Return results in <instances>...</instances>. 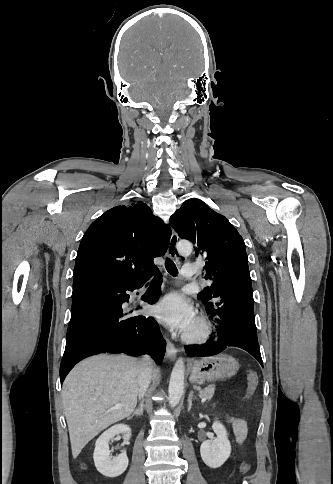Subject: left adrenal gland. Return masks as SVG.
<instances>
[{"mask_svg":"<svg viewBox=\"0 0 333 484\" xmlns=\"http://www.w3.org/2000/svg\"><path fill=\"white\" fill-rule=\"evenodd\" d=\"M196 399V397L193 396V391H190V394L188 396V411H190L192 407V400Z\"/></svg>","mask_w":333,"mask_h":484,"instance_id":"left-adrenal-gland-1","label":"left adrenal gland"}]
</instances>
